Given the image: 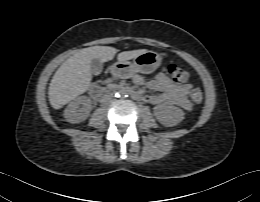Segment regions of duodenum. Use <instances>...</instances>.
<instances>
[{
	"label": "duodenum",
	"mask_w": 260,
	"mask_h": 202,
	"mask_svg": "<svg viewBox=\"0 0 260 202\" xmlns=\"http://www.w3.org/2000/svg\"><path fill=\"white\" fill-rule=\"evenodd\" d=\"M113 73L116 74L117 73V70L114 68L113 69ZM118 90L120 91H124V92H127L129 93L133 98H136V99H143V95L134 91L133 89L131 88H128V87H119ZM89 93L91 96H93L94 98H99L102 96V91L98 90L97 88L95 87H91L89 89Z\"/></svg>",
	"instance_id": "410a0bca"
}]
</instances>
